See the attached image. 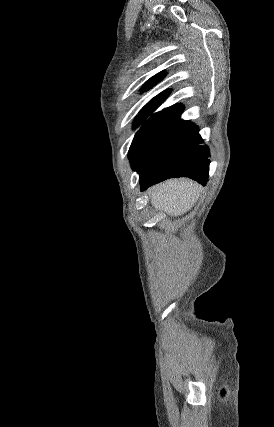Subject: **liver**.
<instances>
[{
  "label": "liver",
  "mask_w": 274,
  "mask_h": 427,
  "mask_svg": "<svg viewBox=\"0 0 274 427\" xmlns=\"http://www.w3.org/2000/svg\"><path fill=\"white\" fill-rule=\"evenodd\" d=\"M202 192L200 184L180 178V180H166L149 190L152 206L163 210L168 215H182L195 206Z\"/></svg>",
  "instance_id": "liver-1"
}]
</instances>
